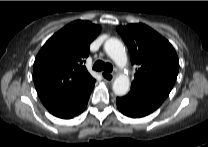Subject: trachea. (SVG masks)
Wrapping results in <instances>:
<instances>
[{"instance_id":"trachea-1","label":"trachea","mask_w":208,"mask_h":147,"mask_svg":"<svg viewBox=\"0 0 208 147\" xmlns=\"http://www.w3.org/2000/svg\"><path fill=\"white\" fill-rule=\"evenodd\" d=\"M93 70L95 71H106V72H112L113 66L110 63H105L102 60H98L93 65Z\"/></svg>"}]
</instances>
